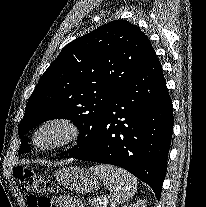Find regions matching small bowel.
<instances>
[{
	"instance_id": "obj_1",
	"label": "small bowel",
	"mask_w": 206,
	"mask_h": 207,
	"mask_svg": "<svg viewBox=\"0 0 206 207\" xmlns=\"http://www.w3.org/2000/svg\"><path fill=\"white\" fill-rule=\"evenodd\" d=\"M53 207H82L79 201L56 197L52 200Z\"/></svg>"
}]
</instances>
